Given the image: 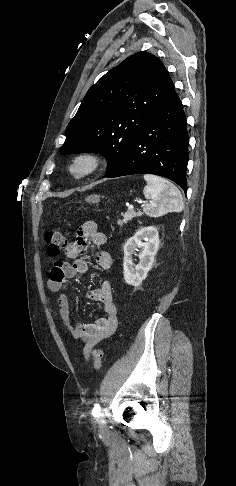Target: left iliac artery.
<instances>
[{"label": "left iliac artery", "instance_id": "left-iliac-artery-1", "mask_svg": "<svg viewBox=\"0 0 236 486\" xmlns=\"http://www.w3.org/2000/svg\"><path fill=\"white\" fill-rule=\"evenodd\" d=\"M100 411V405L99 404H96L92 410V414L94 417H97L98 416V413Z\"/></svg>", "mask_w": 236, "mask_h": 486}]
</instances>
